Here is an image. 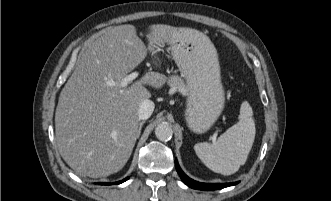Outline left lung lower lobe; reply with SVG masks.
<instances>
[{"label": "left lung lower lobe", "instance_id": "0a47b994", "mask_svg": "<svg viewBox=\"0 0 331 201\" xmlns=\"http://www.w3.org/2000/svg\"><path fill=\"white\" fill-rule=\"evenodd\" d=\"M175 167L176 170L181 177L182 181L188 185L189 187L193 189H198V190H204V191H209V190H217V189H222L228 186L236 185L239 182H233V183H224V184H207V183H200L197 181L192 180L189 178L180 168L177 159H175Z\"/></svg>", "mask_w": 331, "mask_h": 201}]
</instances>
